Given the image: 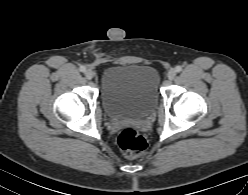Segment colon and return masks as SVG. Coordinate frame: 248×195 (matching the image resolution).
Returning a JSON list of instances; mask_svg holds the SVG:
<instances>
[{
    "label": "colon",
    "instance_id": "5ec220e1",
    "mask_svg": "<svg viewBox=\"0 0 248 195\" xmlns=\"http://www.w3.org/2000/svg\"><path fill=\"white\" fill-rule=\"evenodd\" d=\"M118 145L128 157H136L147 147L145 138L133 127L124 128L118 135Z\"/></svg>",
    "mask_w": 248,
    "mask_h": 195
}]
</instances>
